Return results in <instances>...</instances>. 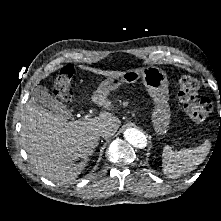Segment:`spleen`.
<instances>
[{"instance_id": "obj_1", "label": "spleen", "mask_w": 221, "mask_h": 221, "mask_svg": "<svg viewBox=\"0 0 221 221\" xmlns=\"http://www.w3.org/2000/svg\"><path fill=\"white\" fill-rule=\"evenodd\" d=\"M210 149L209 140L192 149H181L179 151H173L170 146H165L162 153L164 174L170 178H177L196 169L205 160Z\"/></svg>"}]
</instances>
